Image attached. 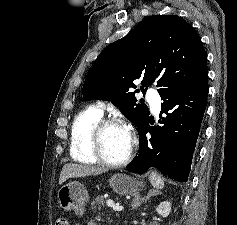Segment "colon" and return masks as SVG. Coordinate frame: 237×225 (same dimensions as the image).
<instances>
[{
  "mask_svg": "<svg viewBox=\"0 0 237 225\" xmlns=\"http://www.w3.org/2000/svg\"><path fill=\"white\" fill-rule=\"evenodd\" d=\"M55 225H69L68 220L65 217H60L56 220Z\"/></svg>",
  "mask_w": 237,
  "mask_h": 225,
  "instance_id": "obj_1",
  "label": "colon"
}]
</instances>
